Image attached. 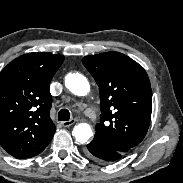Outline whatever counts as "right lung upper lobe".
Returning <instances> with one entry per match:
<instances>
[{
    "label": "right lung upper lobe",
    "instance_id": "right-lung-upper-lobe-1",
    "mask_svg": "<svg viewBox=\"0 0 183 183\" xmlns=\"http://www.w3.org/2000/svg\"><path fill=\"white\" fill-rule=\"evenodd\" d=\"M63 61L62 55L28 53L1 71L0 145L12 156H36L50 143L56 127L49 85Z\"/></svg>",
    "mask_w": 183,
    "mask_h": 183
}]
</instances>
